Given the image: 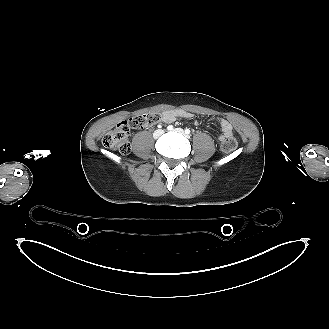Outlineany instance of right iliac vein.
<instances>
[{"label":"right iliac vein","mask_w":329,"mask_h":329,"mask_svg":"<svg viewBox=\"0 0 329 329\" xmlns=\"http://www.w3.org/2000/svg\"><path fill=\"white\" fill-rule=\"evenodd\" d=\"M161 134H163V130H157L154 134V137L158 138Z\"/></svg>","instance_id":"right-iliac-vein-1"}]
</instances>
